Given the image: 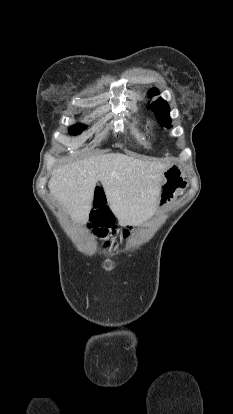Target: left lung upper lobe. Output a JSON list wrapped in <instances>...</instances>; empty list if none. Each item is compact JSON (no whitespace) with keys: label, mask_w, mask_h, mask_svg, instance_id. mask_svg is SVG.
Masks as SVG:
<instances>
[{"label":"left lung upper lobe","mask_w":233,"mask_h":414,"mask_svg":"<svg viewBox=\"0 0 233 414\" xmlns=\"http://www.w3.org/2000/svg\"><path fill=\"white\" fill-rule=\"evenodd\" d=\"M159 94L156 88H152L149 90L148 95L153 97ZM148 108H151L154 113H156L158 120L164 127L170 128L171 127V119H170V109L167 102L161 98L152 102L148 105Z\"/></svg>","instance_id":"left-lung-upper-lobe-1"}]
</instances>
